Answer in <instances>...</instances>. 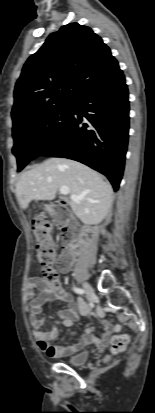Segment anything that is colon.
<instances>
[{
	"label": "colon",
	"instance_id": "obj_1",
	"mask_svg": "<svg viewBox=\"0 0 155 413\" xmlns=\"http://www.w3.org/2000/svg\"><path fill=\"white\" fill-rule=\"evenodd\" d=\"M51 220L63 230V242L71 244L75 240V230L69 223L68 212L62 205H52L45 210L39 211L32 221L33 232L37 238V256L43 266L44 281L50 288L60 287V276L56 269L65 270L72 263L70 254L56 253V244L50 237ZM129 339L125 335H117L112 338L111 352L122 353Z\"/></svg>",
	"mask_w": 155,
	"mask_h": 413
}]
</instances>
